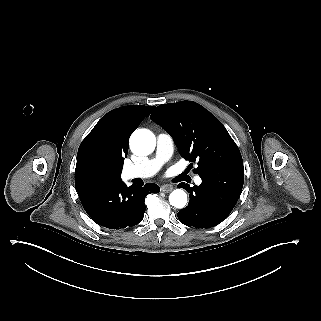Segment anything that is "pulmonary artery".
Instances as JSON below:
<instances>
[{
  "mask_svg": "<svg viewBox=\"0 0 321 321\" xmlns=\"http://www.w3.org/2000/svg\"><path fill=\"white\" fill-rule=\"evenodd\" d=\"M174 150V143L172 137L166 133L161 132L157 136V149L155 157L146 158L141 162L124 167L121 177L123 179L132 178H148L155 175L163 163L171 158ZM195 183L201 184V178L195 177Z\"/></svg>",
  "mask_w": 321,
  "mask_h": 321,
  "instance_id": "e3ab8cb5",
  "label": "pulmonary artery"
}]
</instances>
